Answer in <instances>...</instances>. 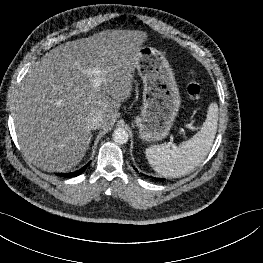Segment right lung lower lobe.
<instances>
[{"label":"right lung lower lobe","instance_id":"right-lung-lower-lobe-1","mask_svg":"<svg viewBox=\"0 0 263 263\" xmlns=\"http://www.w3.org/2000/svg\"><path fill=\"white\" fill-rule=\"evenodd\" d=\"M90 163H91V161L87 165H85L83 168H81L80 170H77L75 172H72V173H57V175L62 176V177H75V176H78L88 167V165Z\"/></svg>","mask_w":263,"mask_h":263}]
</instances>
